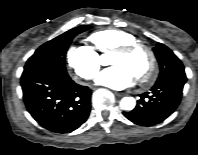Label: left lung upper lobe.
<instances>
[{
    "mask_svg": "<svg viewBox=\"0 0 198 155\" xmlns=\"http://www.w3.org/2000/svg\"><path fill=\"white\" fill-rule=\"evenodd\" d=\"M153 51L160 66V74L157 82L172 76H185L184 66L182 62L168 47L161 43H158L156 47L153 48ZM144 113L146 114H141V118L147 119L148 114L147 112Z\"/></svg>",
    "mask_w": 198,
    "mask_h": 155,
    "instance_id": "5c2ea615",
    "label": "left lung upper lobe"
}]
</instances>
